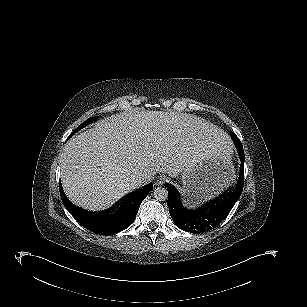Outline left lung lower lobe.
I'll list each match as a JSON object with an SVG mask.
<instances>
[{"label": "left lung lower lobe", "instance_id": "left-lung-lower-lobe-1", "mask_svg": "<svg viewBox=\"0 0 307 307\" xmlns=\"http://www.w3.org/2000/svg\"><path fill=\"white\" fill-rule=\"evenodd\" d=\"M240 156V176L235 190L225 198V194L207 202L197 209H186L180 202L178 190L167 184L169 196V213L178 228L190 233H204L218 226L229 214L239 199L244 184V151L238 150Z\"/></svg>", "mask_w": 307, "mask_h": 307}]
</instances>
